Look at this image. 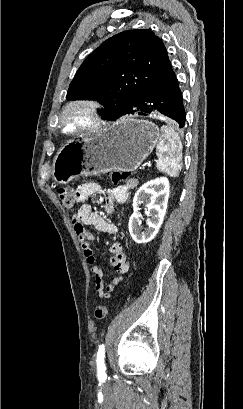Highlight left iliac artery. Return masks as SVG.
<instances>
[{"label": "left iliac artery", "instance_id": "obj_1", "mask_svg": "<svg viewBox=\"0 0 243 409\" xmlns=\"http://www.w3.org/2000/svg\"><path fill=\"white\" fill-rule=\"evenodd\" d=\"M96 362H97L98 378L104 379L106 377V374H105L106 366H105V347L103 344L99 346Z\"/></svg>", "mask_w": 243, "mask_h": 409}]
</instances>
